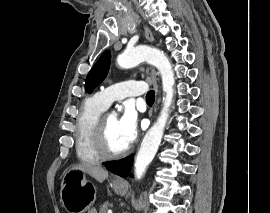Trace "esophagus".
<instances>
[{"instance_id":"obj_1","label":"esophagus","mask_w":270,"mask_h":213,"mask_svg":"<svg viewBox=\"0 0 270 213\" xmlns=\"http://www.w3.org/2000/svg\"><path fill=\"white\" fill-rule=\"evenodd\" d=\"M144 31H145V36H146L147 40L149 42H153L154 37H153V34L150 31V29L147 27H144ZM151 80H152V83L154 85V89H155L156 96H157L158 92H159V87H158V81H157V74H156V71L154 69H151ZM153 111H154V109L150 110V112H149L150 117L152 116Z\"/></svg>"}]
</instances>
